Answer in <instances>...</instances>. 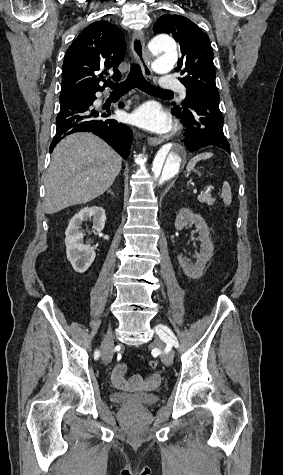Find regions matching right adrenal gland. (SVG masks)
<instances>
[{"instance_id":"2a0ac1e0","label":"right adrenal gland","mask_w":283,"mask_h":475,"mask_svg":"<svg viewBox=\"0 0 283 475\" xmlns=\"http://www.w3.org/2000/svg\"><path fill=\"white\" fill-rule=\"evenodd\" d=\"M107 194H112V196H114L112 190H108Z\"/></svg>"}]
</instances>
